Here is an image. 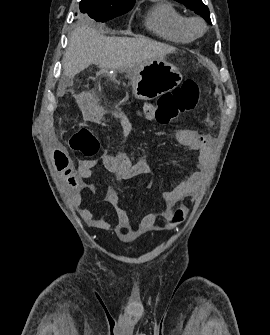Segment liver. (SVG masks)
<instances>
[{
	"instance_id": "6515ba94",
	"label": "liver",
	"mask_w": 270,
	"mask_h": 335,
	"mask_svg": "<svg viewBox=\"0 0 270 335\" xmlns=\"http://www.w3.org/2000/svg\"><path fill=\"white\" fill-rule=\"evenodd\" d=\"M172 52H175V48L168 44L148 38L100 36L89 24H80L71 32L62 64L64 74L69 78H74L91 64H96L104 72L126 68L129 76L134 78L141 66Z\"/></svg>"
}]
</instances>
